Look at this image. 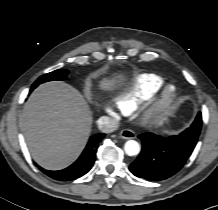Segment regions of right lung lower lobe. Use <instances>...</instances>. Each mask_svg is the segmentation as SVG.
I'll list each match as a JSON object with an SVG mask.
<instances>
[{
  "label": "right lung lower lobe",
  "mask_w": 218,
  "mask_h": 210,
  "mask_svg": "<svg viewBox=\"0 0 218 210\" xmlns=\"http://www.w3.org/2000/svg\"><path fill=\"white\" fill-rule=\"evenodd\" d=\"M31 88L30 91H32ZM105 134L99 133L90 137L87 146L81 156L71 166L60 171H48L39 167L49 177L59 181H69L85 175L93 166L98 144Z\"/></svg>",
  "instance_id": "98d812e1"
}]
</instances>
